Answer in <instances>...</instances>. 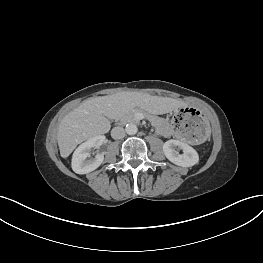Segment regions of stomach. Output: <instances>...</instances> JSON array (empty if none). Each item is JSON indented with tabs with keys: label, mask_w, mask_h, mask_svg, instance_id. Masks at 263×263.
<instances>
[{
	"label": "stomach",
	"mask_w": 263,
	"mask_h": 263,
	"mask_svg": "<svg viewBox=\"0 0 263 263\" xmlns=\"http://www.w3.org/2000/svg\"><path fill=\"white\" fill-rule=\"evenodd\" d=\"M170 126L176 137L192 146L206 142L212 131L208 116L192 106H185L176 110L171 117Z\"/></svg>",
	"instance_id": "0dacf381"
}]
</instances>
